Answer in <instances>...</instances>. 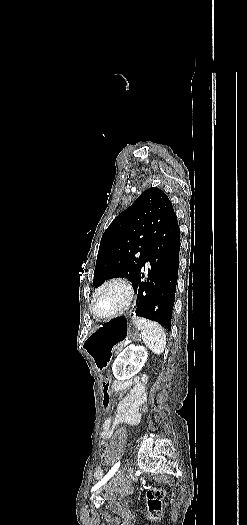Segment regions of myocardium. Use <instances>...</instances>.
I'll return each mask as SVG.
<instances>
[{
	"instance_id": "1",
	"label": "myocardium",
	"mask_w": 247,
	"mask_h": 525,
	"mask_svg": "<svg viewBox=\"0 0 247 525\" xmlns=\"http://www.w3.org/2000/svg\"><path fill=\"white\" fill-rule=\"evenodd\" d=\"M106 286H120L124 288L127 291V298L124 301L122 305H120L118 308L106 312V313H100L95 308V299L99 292L105 288ZM134 297V287L130 280H128L125 277L121 276H115L111 277L109 279H106L105 281L101 282L97 288L95 289L94 293L92 294L91 301H90V309L94 317L97 319H108L115 317L119 314H122L124 311L127 310V308L130 306L132 300Z\"/></svg>"
}]
</instances>
